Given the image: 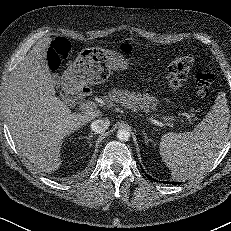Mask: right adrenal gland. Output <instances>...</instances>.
I'll list each match as a JSON object with an SVG mask.
<instances>
[{
	"label": "right adrenal gland",
	"mask_w": 231,
	"mask_h": 231,
	"mask_svg": "<svg viewBox=\"0 0 231 231\" xmlns=\"http://www.w3.org/2000/svg\"><path fill=\"white\" fill-rule=\"evenodd\" d=\"M95 135V133H90L88 136H84L83 138L88 140L89 147L92 145L91 144V138Z\"/></svg>",
	"instance_id": "obj_1"
}]
</instances>
